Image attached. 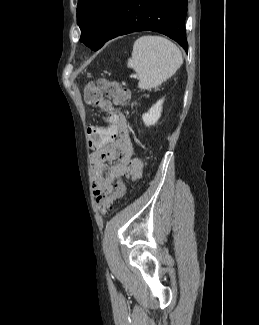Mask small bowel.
<instances>
[{
    "mask_svg": "<svg viewBox=\"0 0 259 325\" xmlns=\"http://www.w3.org/2000/svg\"><path fill=\"white\" fill-rule=\"evenodd\" d=\"M111 113V125L99 129L100 142L92 154L93 190L96 196L110 194L113 185L121 177L137 180L141 177L143 163L137 156L129 137V128L124 114L111 105L104 106ZM90 135V132H88ZM116 161L108 165V162Z\"/></svg>",
    "mask_w": 259,
    "mask_h": 325,
    "instance_id": "small-bowel-1",
    "label": "small bowel"
}]
</instances>
